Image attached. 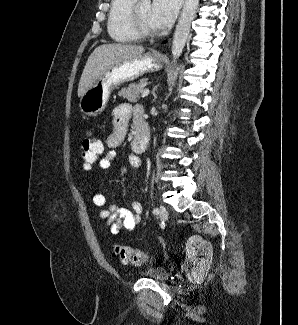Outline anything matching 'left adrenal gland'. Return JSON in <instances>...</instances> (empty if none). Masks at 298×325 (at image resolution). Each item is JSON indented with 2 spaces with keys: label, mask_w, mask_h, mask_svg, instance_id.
Here are the masks:
<instances>
[{
  "label": "left adrenal gland",
  "mask_w": 298,
  "mask_h": 325,
  "mask_svg": "<svg viewBox=\"0 0 298 325\" xmlns=\"http://www.w3.org/2000/svg\"><path fill=\"white\" fill-rule=\"evenodd\" d=\"M158 86H159V84H157V86H154V88L152 90L153 100H155V98H157L156 90H157Z\"/></svg>",
  "instance_id": "a2214340"
}]
</instances>
